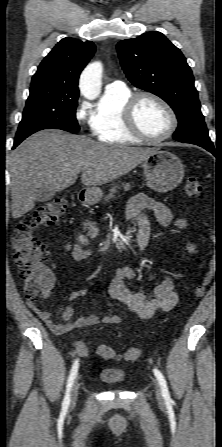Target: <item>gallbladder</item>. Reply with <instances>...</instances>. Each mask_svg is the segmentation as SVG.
I'll return each instance as SVG.
<instances>
[{
  "label": "gallbladder",
  "mask_w": 222,
  "mask_h": 447,
  "mask_svg": "<svg viewBox=\"0 0 222 447\" xmlns=\"http://www.w3.org/2000/svg\"><path fill=\"white\" fill-rule=\"evenodd\" d=\"M55 194H56V191L43 185L36 192V201L37 202L49 201L55 196Z\"/></svg>",
  "instance_id": "gallbladder-1"
}]
</instances>
